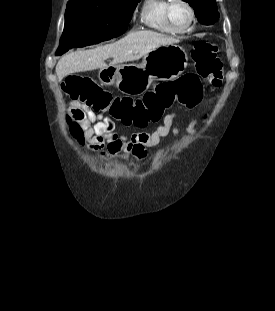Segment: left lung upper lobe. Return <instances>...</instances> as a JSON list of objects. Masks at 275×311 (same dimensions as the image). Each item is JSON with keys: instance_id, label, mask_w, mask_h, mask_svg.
<instances>
[{"instance_id": "1", "label": "left lung upper lobe", "mask_w": 275, "mask_h": 311, "mask_svg": "<svg viewBox=\"0 0 275 311\" xmlns=\"http://www.w3.org/2000/svg\"><path fill=\"white\" fill-rule=\"evenodd\" d=\"M189 3L196 12L198 21L209 25L215 23L219 18L215 0H183Z\"/></svg>"}]
</instances>
